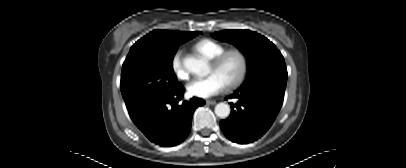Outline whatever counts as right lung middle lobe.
I'll return each mask as SVG.
<instances>
[{"label": "right lung middle lobe", "mask_w": 406, "mask_h": 168, "mask_svg": "<svg viewBox=\"0 0 406 168\" xmlns=\"http://www.w3.org/2000/svg\"><path fill=\"white\" fill-rule=\"evenodd\" d=\"M178 45L138 40L131 47L122 65L120 82L129 115L180 85L172 69V60Z\"/></svg>", "instance_id": "obj_1"}]
</instances>
